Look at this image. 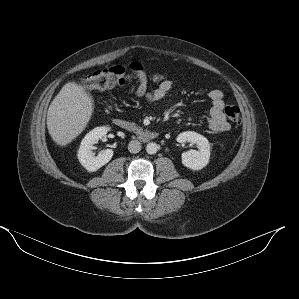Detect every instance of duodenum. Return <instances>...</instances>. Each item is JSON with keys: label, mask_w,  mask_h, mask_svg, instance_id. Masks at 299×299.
I'll return each instance as SVG.
<instances>
[{"label": "duodenum", "mask_w": 299, "mask_h": 299, "mask_svg": "<svg viewBox=\"0 0 299 299\" xmlns=\"http://www.w3.org/2000/svg\"><path fill=\"white\" fill-rule=\"evenodd\" d=\"M114 124L120 128H123V129L131 132L132 134H134L136 137H138L141 140H152L157 137L156 133L146 130V129L140 127L139 125H137L136 123L128 121L123 118H115Z\"/></svg>", "instance_id": "duodenum-1"}]
</instances>
